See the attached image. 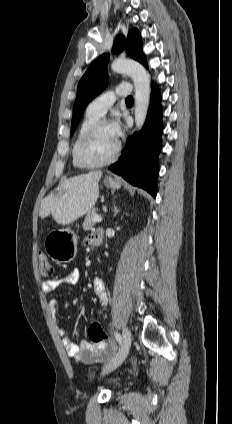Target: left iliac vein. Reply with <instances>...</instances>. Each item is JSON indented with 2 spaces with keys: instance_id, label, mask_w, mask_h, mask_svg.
<instances>
[{
  "instance_id": "obj_1",
  "label": "left iliac vein",
  "mask_w": 232,
  "mask_h": 424,
  "mask_svg": "<svg viewBox=\"0 0 232 424\" xmlns=\"http://www.w3.org/2000/svg\"><path fill=\"white\" fill-rule=\"evenodd\" d=\"M132 342L131 332L128 328L123 329L122 333V346L114 359H112L104 368V373H110L118 368L126 359Z\"/></svg>"
}]
</instances>
